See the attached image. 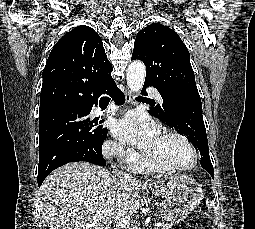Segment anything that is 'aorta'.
<instances>
[{
  "label": "aorta",
  "mask_w": 255,
  "mask_h": 229,
  "mask_svg": "<svg viewBox=\"0 0 255 229\" xmlns=\"http://www.w3.org/2000/svg\"><path fill=\"white\" fill-rule=\"evenodd\" d=\"M146 70L141 61H133L127 68V84L132 92H139L145 81Z\"/></svg>",
  "instance_id": "obj_1"
}]
</instances>
